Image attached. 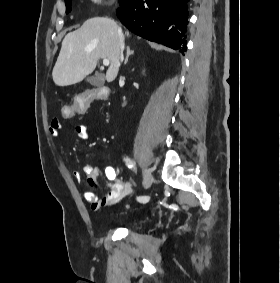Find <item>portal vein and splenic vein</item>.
<instances>
[{
	"mask_svg": "<svg viewBox=\"0 0 280 283\" xmlns=\"http://www.w3.org/2000/svg\"><path fill=\"white\" fill-rule=\"evenodd\" d=\"M110 64V61L106 58H103V65L108 66Z\"/></svg>",
	"mask_w": 280,
	"mask_h": 283,
	"instance_id": "obj_1",
	"label": "portal vein and splenic vein"
}]
</instances>
